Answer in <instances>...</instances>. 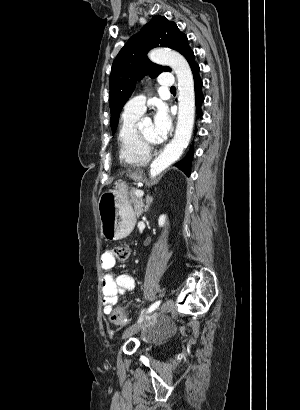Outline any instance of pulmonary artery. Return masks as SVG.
Masks as SVG:
<instances>
[{
	"mask_svg": "<svg viewBox=\"0 0 300 410\" xmlns=\"http://www.w3.org/2000/svg\"><path fill=\"white\" fill-rule=\"evenodd\" d=\"M158 84L161 87H172L174 78L169 73H161L158 76ZM145 100L144 95L131 98L125 105V111L142 114L145 110Z\"/></svg>",
	"mask_w": 300,
	"mask_h": 410,
	"instance_id": "pulmonary-artery-1",
	"label": "pulmonary artery"
}]
</instances>
